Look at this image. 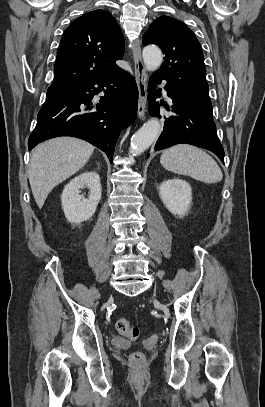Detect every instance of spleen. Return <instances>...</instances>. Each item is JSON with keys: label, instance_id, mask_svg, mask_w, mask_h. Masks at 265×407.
<instances>
[{"label": "spleen", "instance_id": "obj_1", "mask_svg": "<svg viewBox=\"0 0 265 407\" xmlns=\"http://www.w3.org/2000/svg\"><path fill=\"white\" fill-rule=\"evenodd\" d=\"M160 163L168 171L188 175L208 184L217 183L223 178L216 161L193 145L179 144L166 149L160 157Z\"/></svg>", "mask_w": 265, "mask_h": 407}]
</instances>
